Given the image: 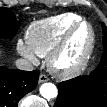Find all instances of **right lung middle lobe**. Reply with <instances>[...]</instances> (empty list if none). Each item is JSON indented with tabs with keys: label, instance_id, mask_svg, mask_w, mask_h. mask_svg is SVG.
I'll list each match as a JSON object with an SVG mask.
<instances>
[{
	"label": "right lung middle lobe",
	"instance_id": "right-lung-middle-lobe-1",
	"mask_svg": "<svg viewBox=\"0 0 107 107\" xmlns=\"http://www.w3.org/2000/svg\"><path fill=\"white\" fill-rule=\"evenodd\" d=\"M20 27V22L7 8H0V38L12 39Z\"/></svg>",
	"mask_w": 107,
	"mask_h": 107
}]
</instances>
